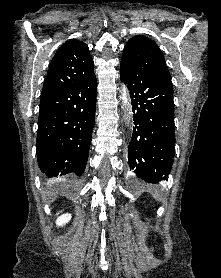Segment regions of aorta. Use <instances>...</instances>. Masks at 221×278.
Returning <instances> with one entry per match:
<instances>
[{"instance_id": "aorta-1", "label": "aorta", "mask_w": 221, "mask_h": 278, "mask_svg": "<svg viewBox=\"0 0 221 278\" xmlns=\"http://www.w3.org/2000/svg\"><path fill=\"white\" fill-rule=\"evenodd\" d=\"M122 100H123V102H124L125 105L128 104L127 89H126L125 87H123Z\"/></svg>"}]
</instances>
